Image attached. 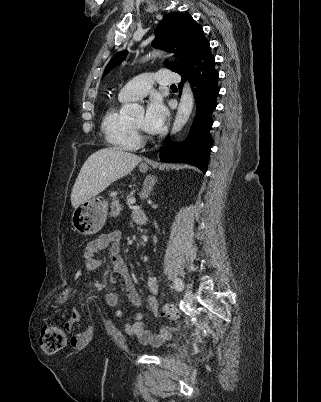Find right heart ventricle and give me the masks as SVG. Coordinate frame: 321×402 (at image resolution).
Masks as SVG:
<instances>
[{
    "mask_svg": "<svg viewBox=\"0 0 321 402\" xmlns=\"http://www.w3.org/2000/svg\"><path fill=\"white\" fill-rule=\"evenodd\" d=\"M101 129L108 144L114 148L132 151L140 146V140L130 128L129 121L121 116L117 106L106 110Z\"/></svg>",
    "mask_w": 321,
    "mask_h": 402,
    "instance_id": "e07e8e85",
    "label": "right heart ventricle"
}]
</instances>
